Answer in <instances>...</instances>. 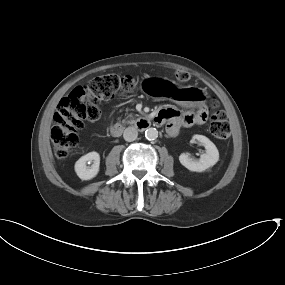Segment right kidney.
<instances>
[{
  "instance_id": "1",
  "label": "right kidney",
  "mask_w": 285,
  "mask_h": 285,
  "mask_svg": "<svg viewBox=\"0 0 285 285\" xmlns=\"http://www.w3.org/2000/svg\"><path fill=\"white\" fill-rule=\"evenodd\" d=\"M93 162L91 166L87 163ZM100 155L93 151L79 158L75 163V172L82 180H90L94 178L99 172Z\"/></svg>"
}]
</instances>
